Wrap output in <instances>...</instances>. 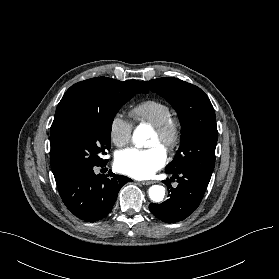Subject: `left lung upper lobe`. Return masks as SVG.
<instances>
[{
  "label": "left lung upper lobe",
  "instance_id": "left-lung-upper-lobe-1",
  "mask_svg": "<svg viewBox=\"0 0 279 279\" xmlns=\"http://www.w3.org/2000/svg\"><path fill=\"white\" fill-rule=\"evenodd\" d=\"M177 111L181 123V146L166 172L189 170L210 179L215 166L218 138L216 117L208 96L197 86L177 78L143 81Z\"/></svg>",
  "mask_w": 279,
  "mask_h": 279
}]
</instances>
